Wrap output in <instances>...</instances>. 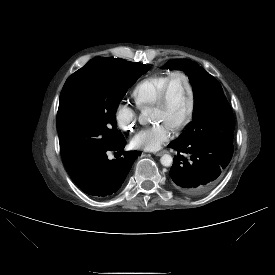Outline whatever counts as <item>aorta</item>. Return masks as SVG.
Returning a JSON list of instances; mask_svg holds the SVG:
<instances>
[{"mask_svg":"<svg viewBox=\"0 0 275 275\" xmlns=\"http://www.w3.org/2000/svg\"><path fill=\"white\" fill-rule=\"evenodd\" d=\"M151 114H152L151 109H149V108L143 109V110L141 111L140 116H139V123H140L141 125L147 124V123L150 121V119H151ZM160 162H161V164H162L163 166L169 167V166H171L172 163H173V158H172V156L169 155V154H164V155H162V157L160 158Z\"/></svg>","mask_w":275,"mask_h":275,"instance_id":"aorta-1","label":"aorta"}]
</instances>
